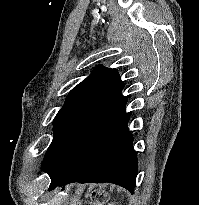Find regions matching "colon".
I'll return each mask as SVG.
<instances>
[{
  "mask_svg": "<svg viewBox=\"0 0 199 205\" xmlns=\"http://www.w3.org/2000/svg\"><path fill=\"white\" fill-rule=\"evenodd\" d=\"M95 198L98 201H103L105 199V194L103 192H98V193H96Z\"/></svg>",
  "mask_w": 199,
  "mask_h": 205,
  "instance_id": "5ec220e1",
  "label": "colon"
}]
</instances>
